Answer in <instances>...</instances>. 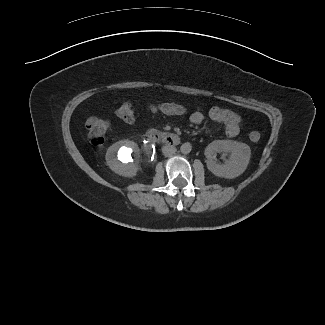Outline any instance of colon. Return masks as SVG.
Returning <instances> with one entry per match:
<instances>
[{"mask_svg": "<svg viewBox=\"0 0 325 325\" xmlns=\"http://www.w3.org/2000/svg\"><path fill=\"white\" fill-rule=\"evenodd\" d=\"M145 109L151 114L169 117H182L190 113L188 106L177 102L150 103ZM116 115L125 122H132L135 108L131 103H122L117 107ZM86 130L90 145L98 147L103 144L106 135L111 131V124L108 120L93 116L86 121ZM260 137L257 131H252L249 135L252 142H258Z\"/></svg>", "mask_w": 325, "mask_h": 325, "instance_id": "obj_1", "label": "colon"}]
</instances>
